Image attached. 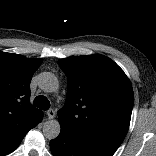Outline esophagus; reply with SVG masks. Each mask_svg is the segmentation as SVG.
Here are the masks:
<instances>
[{
  "label": "esophagus",
  "instance_id": "obj_1",
  "mask_svg": "<svg viewBox=\"0 0 156 156\" xmlns=\"http://www.w3.org/2000/svg\"><path fill=\"white\" fill-rule=\"evenodd\" d=\"M47 115L49 119H53L56 115V112L53 109L47 111Z\"/></svg>",
  "mask_w": 156,
  "mask_h": 156
}]
</instances>
